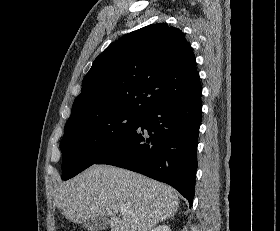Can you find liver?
<instances>
[{"label": "liver", "mask_w": 280, "mask_h": 231, "mask_svg": "<svg viewBox=\"0 0 280 231\" xmlns=\"http://www.w3.org/2000/svg\"><path fill=\"white\" fill-rule=\"evenodd\" d=\"M55 203L74 223L108 215L111 231H149L179 207L178 193L170 185L113 165H91L68 179ZM120 209H126L122 217Z\"/></svg>", "instance_id": "obj_1"}]
</instances>
